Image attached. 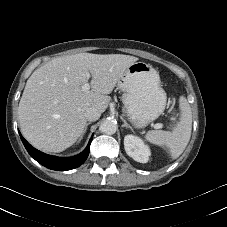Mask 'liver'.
Returning a JSON list of instances; mask_svg holds the SVG:
<instances>
[{"mask_svg":"<svg viewBox=\"0 0 227 227\" xmlns=\"http://www.w3.org/2000/svg\"><path fill=\"white\" fill-rule=\"evenodd\" d=\"M137 57L79 53L57 57L36 69L26 82L18 117L24 137L45 152L72 146L86 126L85 112L103 113L109 94ZM91 74V90L83 91Z\"/></svg>","mask_w":227,"mask_h":227,"instance_id":"liver-1","label":"liver"}]
</instances>
